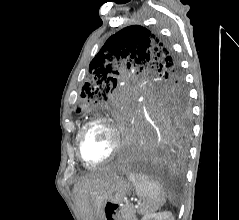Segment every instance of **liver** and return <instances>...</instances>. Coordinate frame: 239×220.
I'll return each mask as SVG.
<instances>
[{
    "instance_id": "obj_1",
    "label": "liver",
    "mask_w": 239,
    "mask_h": 220,
    "mask_svg": "<svg viewBox=\"0 0 239 220\" xmlns=\"http://www.w3.org/2000/svg\"><path fill=\"white\" fill-rule=\"evenodd\" d=\"M113 177H118L116 173L112 171L105 172L102 175L85 177L79 181L74 188L76 200L81 210L84 212L89 211L88 194L93 189L105 186Z\"/></svg>"
}]
</instances>
